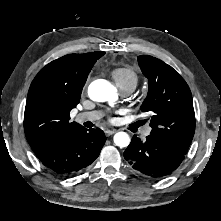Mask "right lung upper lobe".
<instances>
[{"instance_id":"cb5924a9","label":"right lung upper lobe","mask_w":221,"mask_h":221,"mask_svg":"<svg viewBox=\"0 0 221 221\" xmlns=\"http://www.w3.org/2000/svg\"><path fill=\"white\" fill-rule=\"evenodd\" d=\"M104 54L65 55L47 64L34 78L27 96L24 130L38 158L68 134L83 128L69 121L70 111L80 101L91 68Z\"/></svg>"}]
</instances>
